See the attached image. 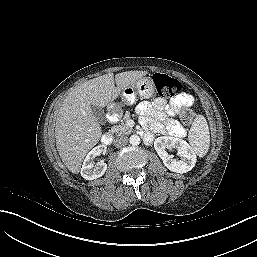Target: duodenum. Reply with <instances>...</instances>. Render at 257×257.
Returning <instances> with one entry per match:
<instances>
[{"mask_svg":"<svg viewBox=\"0 0 257 257\" xmlns=\"http://www.w3.org/2000/svg\"><path fill=\"white\" fill-rule=\"evenodd\" d=\"M109 122L110 123H115L117 122V115L116 114H112L109 116ZM113 141V135L111 133H105L104 135H102L101 137V142L103 145H110Z\"/></svg>","mask_w":257,"mask_h":257,"instance_id":"410a0bca","label":"duodenum"}]
</instances>
